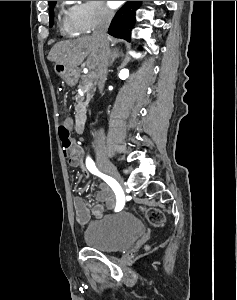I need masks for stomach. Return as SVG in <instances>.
Returning <instances> with one entry per match:
<instances>
[{
    "instance_id": "stomach-1",
    "label": "stomach",
    "mask_w": 237,
    "mask_h": 300,
    "mask_svg": "<svg viewBox=\"0 0 237 300\" xmlns=\"http://www.w3.org/2000/svg\"><path fill=\"white\" fill-rule=\"evenodd\" d=\"M54 73L64 79L68 85H76L79 79V73H77V69H69L66 65H61V63H55L53 65Z\"/></svg>"
}]
</instances>
